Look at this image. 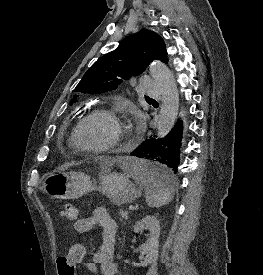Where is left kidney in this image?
Wrapping results in <instances>:
<instances>
[{"label":"left kidney","mask_w":263,"mask_h":275,"mask_svg":"<svg viewBox=\"0 0 263 275\" xmlns=\"http://www.w3.org/2000/svg\"><path fill=\"white\" fill-rule=\"evenodd\" d=\"M143 230H149L146 242L140 246L145 258L141 263H133V266L136 267H146L149 264L155 263L159 256V220L155 216H145L134 226L135 233L142 232Z\"/></svg>","instance_id":"1"}]
</instances>
